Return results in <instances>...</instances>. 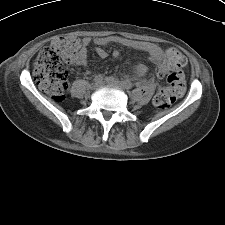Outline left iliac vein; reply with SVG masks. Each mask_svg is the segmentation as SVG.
<instances>
[{
  "label": "left iliac vein",
  "instance_id": "left-iliac-vein-1",
  "mask_svg": "<svg viewBox=\"0 0 225 225\" xmlns=\"http://www.w3.org/2000/svg\"><path fill=\"white\" fill-rule=\"evenodd\" d=\"M107 83L112 85V86H115L121 90H125L127 86H125L122 82L114 79V78H110L107 80Z\"/></svg>",
  "mask_w": 225,
  "mask_h": 225
}]
</instances>
